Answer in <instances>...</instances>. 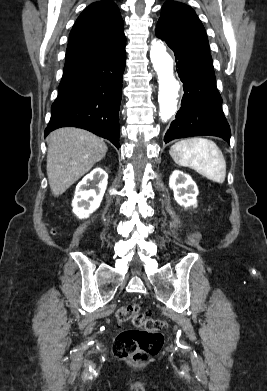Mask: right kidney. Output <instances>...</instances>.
I'll list each match as a JSON object with an SVG mask.
<instances>
[{"mask_svg":"<svg viewBox=\"0 0 267 391\" xmlns=\"http://www.w3.org/2000/svg\"><path fill=\"white\" fill-rule=\"evenodd\" d=\"M107 173L101 168H95L87 174L76 186L72 201L73 213L80 219L88 218L99 208L107 187ZM92 183V188L87 187Z\"/></svg>","mask_w":267,"mask_h":391,"instance_id":"obj_1","label":"right kidney"}]
</instances>
